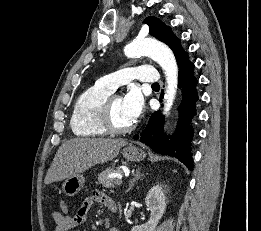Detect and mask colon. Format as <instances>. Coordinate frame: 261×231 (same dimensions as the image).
Segmentation results:
<instances>
[{"label":"colon","instance_id":"5ec220e1","mask_svg":"<svg viewBox=\"0 0 261 231\" xmlns=\"http://www.w3.org/2000/svg\"><path fill=\"white\" fill-rule=\"evenodd\" d=\"M61 209H62L63 211H67V210H68V205H67L66 203H63V204L61 205Z\"/></svg>","mask_w":261,"mask_h":231}]
</instances>
